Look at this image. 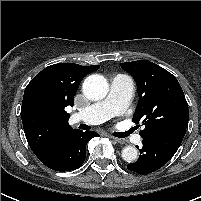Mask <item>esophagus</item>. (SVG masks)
<instances>
[{"label": "esophagus", "mask_w": 201, "mask_h": 201, "mask_svg": "<svg viewBox=\"0 0 201 201\" xmlns=\"http://www.w3.org/2000/svg\"><path fill=\"white\" fill-rule=\"evenodd\" d=\"M111 138H112L115 142H117V143H119V144H125V140H124V139L116 138V137H113V136H111Z\"/></svg>", "instance_id": "esophagus-1"}]
</instances>
